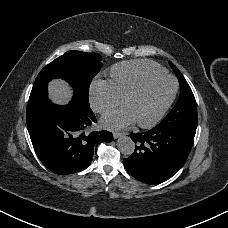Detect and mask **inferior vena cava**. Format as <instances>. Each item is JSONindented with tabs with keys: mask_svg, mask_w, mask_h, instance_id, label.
Segmentation results:
<instances>
[{
	"mask_svg": "<svg viewBox=\"0 0 228 228\" xmlns=\"http://www.w3.org/2000/svg\"><path fill=\"white\" fill-rule=\"evenodd\" d=\"M93 110H94L95 112L103 111V110H104V106H103V105H94V106H93Z\"/></svg>",
	"mask_w": 228,
	"mask_h": 228,
	"instance_id": "1",
	"label": "inferior vena cava"
}]
</instances>
